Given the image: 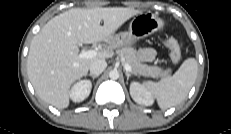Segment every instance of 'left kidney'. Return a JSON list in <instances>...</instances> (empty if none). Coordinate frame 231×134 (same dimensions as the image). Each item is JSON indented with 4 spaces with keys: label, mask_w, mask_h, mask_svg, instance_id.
Wrapping results in <instances>:
<instances>
[{
    "label": "left kidney",
    "mask_w": 231,
    "mask_h": 134,
    "mask_svg": "<svg viewBox=\"0 0 231 134\" xmlns=\"http://www.w3.org/2000/svg\"><path fill=\"white\" fill-rule=\"evenodd\" d=\"M130 95L140 105L150 106L154 102L152 93L138 82L130 84Z\"/></svg>",
    "instance_id": "left-kidney-1"
}]
</instances>
